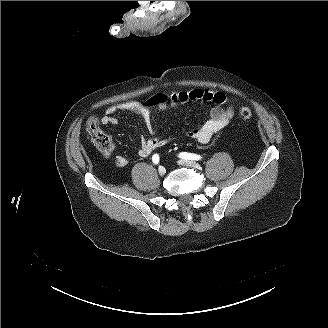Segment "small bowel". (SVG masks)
<instances>
[{
  "label": "small bowel",
  "instance_id": "obj_1",
  "mask_svg": "<svg viewBox=\"0 0 328 328\" xmlns=\"http://www.w3.org/2000/svg\"><path fill=\"white\" fill-rule=\"evenodd\" d=\"M169 98L173 105L200 102L211 107L209 119L201 126L190 129L186 133L187 137L202 144L208 143L216 133L223 130L234 116V108L227 104V98L221 92L195 89L187 92L170 93ZM121 111H128L138 115L142 119L147 132L151 135L150 137L143 136L141 138L138 149L140 157H148L170 140L169 138L155 136L156 126L152 111L146 105L137 101H124L109 106L101 117V123L107 126H115L118 120L114 115ZM103 154L110 156L111 152ZM114 163L117 167H124L128 164V159L123 155H117L114 158Z\"/></svg>",
  "mask_w": 328,
  "mask_h": 328
}]
</instances>
